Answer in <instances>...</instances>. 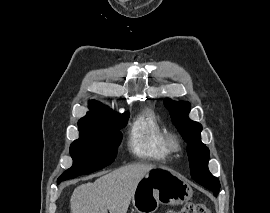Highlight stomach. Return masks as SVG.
Wrapping results in <instances>:
<instances>
[{
  "label": "stomach",
  "instance_id": "obj_1",
  "mask_svg": "<svg viewBox=\"0 0 270 213\" xmlns=\"http://www.w3.org/2000/svg\"><path fill=\"white\" fill-rule=\"evenodd\" d=\"M192 194L193 190L184 177L169 169L155 168L138 182L132 203L137 213H154L160 203L183 204Z\"/></svg>",
  "mask_w": 270,
  "mask_h": 213
}]
</instances>
